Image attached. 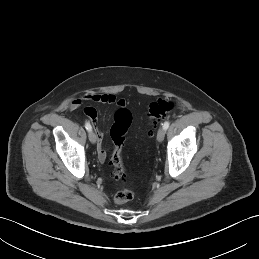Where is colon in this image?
Returning a JSON list of instances; mask_svg holds the SVG:
<instances>
[{"instance_id": "5ec220e1", "label": "colon", "mask_w": 259, "mask_h": 259, "mask_svg": "<svg viewBox=\"0 0 259 259\" xmlns=\"http://www.w3.org/2000/svg\"><path fill=\"white\" fill-rule=\"evenodd\" d=\"M174 103L170 100L158 99L149 104L147 116L155 124L164 119L171 112ZM132 123V114L126 108L118 109L113 115V124L110 129V135L113 141V153L110 158V164L113 167L114 178L118 181L125 182L127 179L126 172L122 164V150L125 142L126 133ZM134 196L130 188L119 190L114 197L116 203H125L130 201Z\"/></svg>"}]
</instances>
